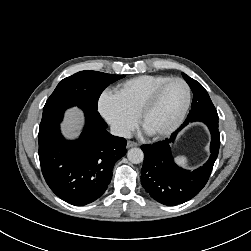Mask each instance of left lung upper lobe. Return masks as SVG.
Wrapping results in <instances>:
<instances>
[{
	"label": "left lung upper lobe",
	"mask_w": 251,
	"mask_h": 251,
	"mask_svg": "<svg viewBox=\"0 0 251 251\" xmlns=\"http://www.w3.org/2000/svg\"><path fill=\"white\" fill-rule=\"evenodd\" d=\"M182 76L194 93L191 110L186 120L198 117L218 118L217 111L203 86L185 73H182Z\"/></svg>",
	"instance_id": "5c2ea615"
}]
</instances>
